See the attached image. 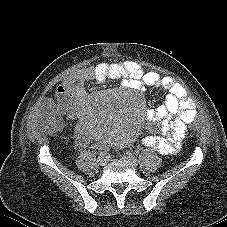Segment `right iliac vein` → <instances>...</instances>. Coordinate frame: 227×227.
<instances>
[{
    "instance_id": "1",
    "label": "right iliac vein",
    "mask_w": 227,
    "mask_h": 227,
    "mask_svg": "<svg viewBox=\"0 0 227 227\" xmlns=\"http://www.w3.org/2000/svg\"><path fill=\"white\" fill-rule=\"evenodd\" d=\"M97 162L100 166H104L107 163V159L105 157L101 156L98 158Z\"/></svg>"
}]
</instances>
